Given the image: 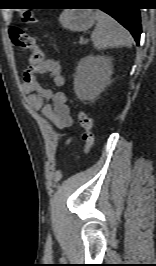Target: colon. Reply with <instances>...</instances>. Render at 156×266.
Masks as SVG:
<instances>
[{
    "mask_svg": "<svg viewBox=\"0 0 156 266\" xmlns=\"http://www.w3.org/2000/svg\"><path fill=\"white\" fill-rule=\"evenodd\" d=\"M22 21L25 24L31 25L36 22L32 12L25 11L22 14ZM10 38L12 43L19 49L30 50L29 57L30 66H36L43 62V51L38 47L35 39L19 27H14L10 30ZM78 121L83 128L82 140L84 142V153H88L94 144V134L92 132L93 120L84 111L78 112Z\"/></svg>",
    "mask_w": 156,
    "mask_h": 266,
    "instance_id": "5ec220e1",
    "label": "colon"
}]
</instances>
